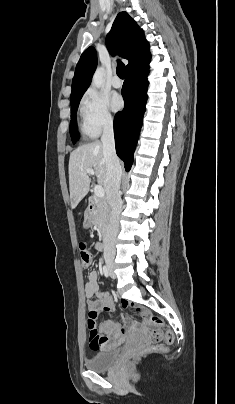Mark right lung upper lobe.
<instances>
[{
  "label": "right lung upper lobe",
  "instance_id": "obj_1",
  "mask_svg": "<svg viewBox=\"0 0 235 404\" xmlns=\"http://www.w3.org/2000/svg\"><path fill=\"white\" fill-rule=\"evenodd\" d=\"M106 46L110 53H119L129 61L127 71L150 61L149 43L143 30L126 13L120 12L106 37ZM97 66V53L94 47H88L81 55L72 81L71 102L80 100L91 83Z\"/></svg>",
  "mask_w": 235,
  "mask_h": 404
}]
</instances>
